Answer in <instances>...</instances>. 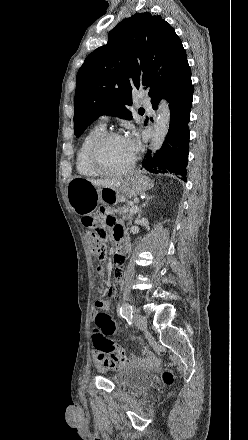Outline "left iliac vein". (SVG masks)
<instances>
[{
	"mask_svg": "<svg viewBox=\"0 0 248 440\" xmlns=\"http://www.w3.org/2000/svg\"><path fill=\"white\" fill-rule=\"evenodd\" d=\"M134 323L138 328L144 329L147 326V319L145 316L141 315L139 312L134 313Z\"/></svg>",
	"mask_w": 248,
	"mask_h": 440,
	"instance_id": "left-iliac-vein-1",
	"label": "left iliac vein"
}]
</instances>
